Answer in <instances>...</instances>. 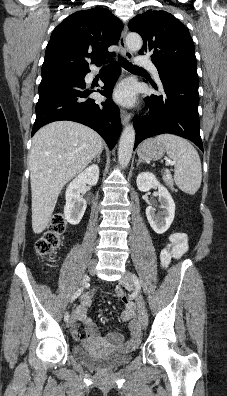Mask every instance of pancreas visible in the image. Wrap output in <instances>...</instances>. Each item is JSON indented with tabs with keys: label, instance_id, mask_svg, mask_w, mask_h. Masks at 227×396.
Returning <instances> with one entry per match:
<instances>
[{
	"label": "pancreas",
	"instance_id": "cf45deb5",
	"mask_svg": "<svg viewBox=\"0 0 227 396\" xmlns=\"http://www.w3.org/2000/svg\"><path fill=\"white\" fill-rule=\"evenodd\" d=\"M163 179L166 182V184L170 187V189L174 190V187H173L174 183H173L172 177L168 175V176H164Z\"/></svg>",
	"mask_w": 227,
	"mask_h": 396
}]
</instances>
